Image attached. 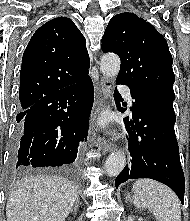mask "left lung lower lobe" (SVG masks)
I'll use <instances>...</instances> for the list:
<instances>
[{
	"label": "left lung lower lobe",
	"instance_id": "1",
	"mask_svg": "<svg viewBox=\"0 0 190 221\" xmlns=\"http://www.w3.org/2000/svg\"><path fill=\"white\" fill-rule=\"evenodd\" d=\"M117 84H122L116 82ZM131 90L133 120L124 118L132 163L115 180L116 188L128 179L150 178L169 186L183 202L185 181L175 136L173 100L161 95ZM114 98L118 110L121 95Z\"/></svg>",
	"mask_w": 190,
	"mask_h": 221
}]
</instances>
